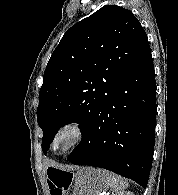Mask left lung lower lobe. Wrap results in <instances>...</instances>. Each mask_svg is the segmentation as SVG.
Here are the masks:
<instances>
[{
  "label": "left lung lower lobe",
  "mask_w": 178,
  "mask_h": 195,
  "mask_svg": "<svg viewBox=\"0 0 178 195\" xmlns=\"http://www.w3.org/2000/svg\"><path fill=\"white\" fill-rule=\"evenodd\" d=\"M156 110L150 52L102 102L67 160L113 171L145 188L152 167Z\"/></svg>",
  "instance_id": "1"
}]
</instances>
